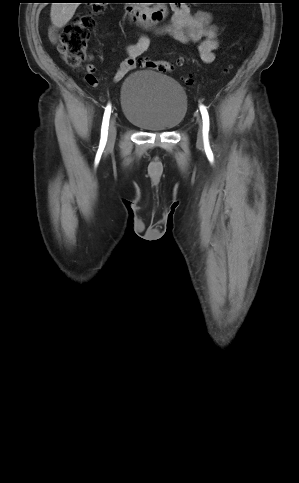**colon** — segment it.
Returning a JSON list of instances; mask_svg holds the SVG:
<instances>
[{"label": "colon", "mask_w": 299, "mask_h": 483, "mask_svg": "<svg viewBox=\"0 0 299 483\" xmlns=\"http://www.w3.org/2000/svg\"><path fill=\"white\" fill-rule=\"evenodd\" d=\"M101 3V2H95ZM94 11H100L102 4H95ZM95 26V20L90 14H84L68 23L61 34L59 42V52L61 53L66 65L72 69H80L86 60L88 41L91 31ZM178 61L176 65H180ZM143 68L155 70L161 73L172 72L175 64L166 60H151L143 58L140 60ZM86 82L94 85L97 79L91 73L86 75ZM186 83L191 84L193 80L190 77L185 79Z\"/></svg>", "instance_id": "colon-1"}]
</instances>
